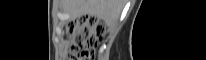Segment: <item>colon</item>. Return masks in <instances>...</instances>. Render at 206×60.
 <instances>
[{
    "instance_id": "obj_1",
    "label": "colon",
    "mask_w": 206,
    "mask_h": 60,
    "mask_svg": "<svg viewBox=\"0 0 206 60\" xmlns=\"http://www.w3.org/2000/svg\"><path fill=\"white\" fill-rule=\"evenodd\" d=\"M70 60H92L104 29L95 17H81L67 26Z\"/></svg>"
}]
</instances>
